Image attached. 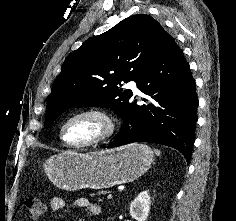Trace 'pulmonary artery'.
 Returning <instances> with one entry per match:
<instances>
[{
  "instance_id": "pulmonary-artery-1",
  "label": "pulmonary artery",
  "mask_w": 236,
  "mask_h": 221,
  "mask_svg": "<svg viewBox=\"0 0 236 221\" xmlns=\"http://www.w3.org/2000/svg\"><path fill=\"white\" fill-rule=\"evenodd\" d=\"M128 86H129V88H130L132 91H134V92H136V93L139 92V90H138V88H137V83H136V81H131V82L128 84Z\"/></svg>"
}]
</instances>
